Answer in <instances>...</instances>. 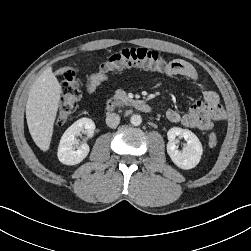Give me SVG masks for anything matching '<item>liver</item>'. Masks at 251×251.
I'll return each instance as SVG.
<instances>
[{"instance_id":"obj_1","label":"liver","mask_w":251,"mask_h":251,"mask_svg":"<svg viewBox=\"0 0 251 251\" xmlns=\"http://www.w3.org/2000/svg\"><path fill=\"white\" fill-rule=\"evenodd\" d=\"M61 85L47 68L34 82L26 104L28 129L35 144L48 151L61 98Z\"/></svg>"}]
</instances>
